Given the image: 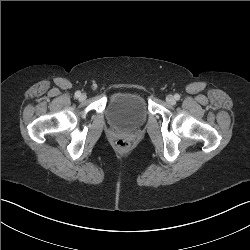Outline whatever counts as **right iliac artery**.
<instances>
[{
	"label": "right iliac artery",
	"mask_w": 250,
	"mask_h": 250,
	"mask_svg": "<svg viewBox=\"0 0 250 250\" xmlns=\"http://www.w3.org/2000/svg\"><path fill=\"white\" fill-rule=\"evenodd\" d=\"M80 95H81V92H80V91L75 92V97H76V98H79Z\"/></svg>",
	"instance_id": "right-iliac-artery-1"
}]
</instances>
